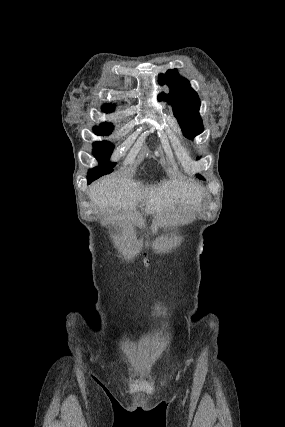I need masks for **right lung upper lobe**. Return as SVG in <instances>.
<instances>
[{"instance_id": "right-lung-upper-lobe-1", "label": "right lung upper lobe", "mask_w": 285, "mask_h": 427, "mask_svg": "<svg viewBox=\"0 0 285 427\" xmlns=\"http://www.w3.org/2000/svg\"><path fill=\"white\" fill-rule=\"evenodd\" d=\"M102 111L105 112V113L112 112V111H114V106L111 105V104L103 105L102 106ZM109 126H112V124L103 123L99 127H109Z\"/></svg>"}]
</instances>
